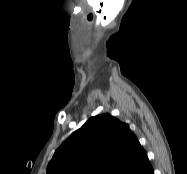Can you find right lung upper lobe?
I'll return each mask as SVG.
<instances>
[{
  "label": "right lung upper lobe",
  "instance_id": "right-lung-upper-lobe-1",
  "mask_svg": "<svg viewBox=\"0 0 187 174\" xmlns=\"http://www.w3.org/2000/svg\"><path fill=\"white\" fill-rule=\"evenodd\" d=\"M152 167L130 131L109 114L91 117L54 153L47 174H148Z\"/></svg>",
  "mask_w": 187,
  "mask_h": 174
}]
</instances>
